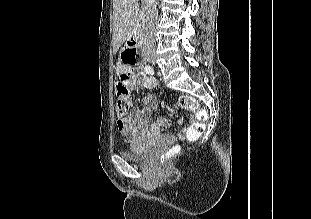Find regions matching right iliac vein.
<instances>
[{"instance_id":"1","label":"right iliac vein","mask_w":311,"mask_h":219,"mask_svg":"<svg viewBox=\"0 0 311 219\" xmlns=\"http://www.w3.org/2000/svg\"><path fill=\"white\" fill-rule=\"evenodd\" d=\"M146 59H147V61L149 62V63H154L155 62V57L154 56H147L146 57Z\"/></svg>"}]
</instances>
